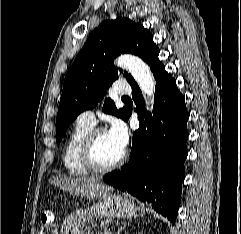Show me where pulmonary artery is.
Instances as JSON below:
<instances>
[{"label": "pulmonary artery", "instance_id": "obj_1", "mask_svg": "<svg viewBox=\"0 0 241 234\" xmlns=\"http://www.w3.org/2000/svg\"><path fill=\"white\" fill-rule=\"evenodd\" d=\"M114 92L118 95H127L131 92V88L126 83H118L114 86ZM78 121L94 126L95 114L92 110H86L78 116Z\"/></svg>", "mask_w": 241, "mask_h": 234}]
</instances>
